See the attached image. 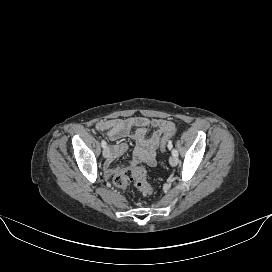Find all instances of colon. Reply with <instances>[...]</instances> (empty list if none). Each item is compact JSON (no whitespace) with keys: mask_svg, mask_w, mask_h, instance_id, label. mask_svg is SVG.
Returning <instances> with one entry per match:
<instances>
[{"mask_svg":"<svg viewBox=\"0 0 272 272\" xmlns=\"http://www.w3.org/2000/svg\"><path fill=\"white\" fill-rule=\"evenodd\" d=\"M175 132L176 128L174 127L164 134L160 142L161 151H165L170 146ZM132 181L135 182L136 187L143 193H150L152 191L147 181L146 170L135 164L119 170L113 178L114 185L120 189H126Z\"/></svg>","mask_w":272,"mask_h":272,"instance_id":"5ec220e1","label":"colon"}]
</instances>
